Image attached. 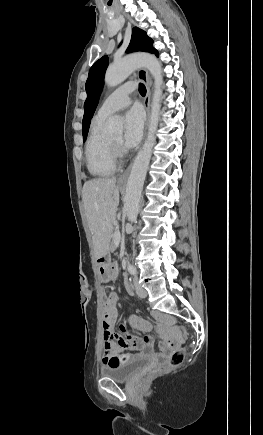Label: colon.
Returning <instances> with one entry per match:
<instances>
[{
    "label": "colon",
    "instance_id": "5ec220e1",
    "mask_svg": "<svg viewBox=\"0 0 263 435\" xmlns=\"http://www.w3.org/2000/svg\"><path fill=\"white\" fill-rule=\"evenodd\" d=\"M101 296H104L103 292H101ZM103 305H104V303H103ZM178 329H181L183 339H189L188 330L186 327H183V324H178ZM101 335L104 339V341L101 343V348L103 350H112L114 339H115L114 328H102ZM183 357H184V355L182 352H180V351L174 352L171 354L168 364L177 365V364L182 362ZM165 368H166V364H160L151 370L150 375L158 374V373L162 372Z\"/></svg>",
    "mask_w": 263,
    "mask_h": 435
}]
</instances>
